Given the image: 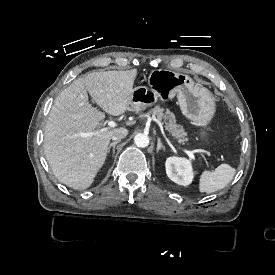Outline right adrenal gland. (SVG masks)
Wrapping results in <instances>:
<instances>
[{
    "mask_svg": "<svg viewBox=\"0 0 275 275\" xmlns=\"http://www.w3.org/2000/svg\"><path fill=\"white\" fill-rule=\"evenodd\" d=\"M120 141H113L109 148H108V155L110 154V151L112 150V158L114 159L115 158V147H116V144H118Z\"/></svg>",
    "mask_w": 275,
    "mask_h": 275,
    "instance_id": "1",
    "label": "right adrenal gland"
}]
</instances>
